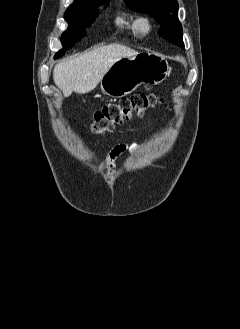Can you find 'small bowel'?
Masks as SVG:
<instances>
[{
    "label": "small bowel",
    "instance_id": "small-bowel-1",
    "mask_svg": "<svg viewBox=\"0 0 240 329\" xmlns=\"http://www.w3.org/2000/svg\"><path fill=\"white\" fill-rule=\"evenodd\" d=\"M139 146L137 144H129V143H118L112 147L110 150L106 160L100 167V169L106 172L110 178L115 177V161L118 157H120L123 153L127 151L135 152L137 151Z\"/></svg>",
    "mask_w": 240,
    "mask_h": 329
}]
</instances>
